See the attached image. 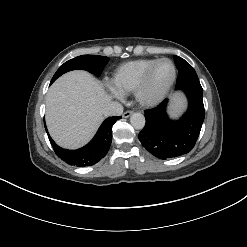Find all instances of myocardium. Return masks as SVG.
Returning <instances> with one entry per match:
<instances>
[{
    "mask_svg": "<svg viewBox=\"0 0 247 247\" xmlns=\"http://www.w3.org/2000/svg\"><path fill=\"white\" fill-rule=\"evenodd\" d=\"M161 61H168L173 69V73H172V77L170 82L168 83V85L163 89V91H161L158 95L155 96H148L146 94V86L150 77V74L152 72V70L154 69V67ZM177 77V69L175 66V63L166 57H162V58H158L156 59L153 63H151L146 70L144 71V73L142 74L135 90H134V96L136 101L144 106V107H155L158 104H160L168 95V93L170 92L171 88L173 87L175 80Z\"/></svg>",
    "mask_w": 247,
    "mask_h": 247,
    "instance_id": "obj_1",
    "label": "myocardium"
}]
</instances>
